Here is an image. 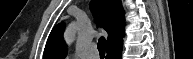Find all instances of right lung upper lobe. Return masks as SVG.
<instances>
[{
	"instance_id": "1",
	"label": "right lung upper lobe",
	"mask_w": 193,
	"mask_h": 59,
	"mask_svg": "<svg viewBox=\"0 0 193 59\" xmlns=\"http://www.w3.org/2000/svg\"><path fill=\"white\" fill-rule=\"evenodd\" d=\"M92 11L99 13L96 22L108 32L107 47L124 37V11L120 0H92ZM64 24L56 25L51 31L45 49L44 59H63L67 48L63 40Z\"/></svg>"
}]
</instances>
